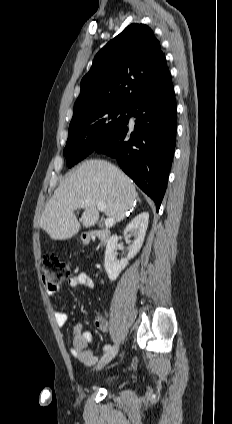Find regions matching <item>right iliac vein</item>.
<instances>
[{
    "label": "right iliac vein",
    "instance_id": "63e3f726",
    "mask_svg": "<svg viewBox=\"0 0 232 424\" xmlns=\"http://www.w3.org/2000/svg\"><path fill=\"white\" fill-rule=\"evenodd\" d=\"M119 346L116 344L113 347H111L100 359L97 369H102L104 366H106L118 353Z\"/></svg>",
    "mask_w": 232,
    "mask_h": 424
}]
</instances>
